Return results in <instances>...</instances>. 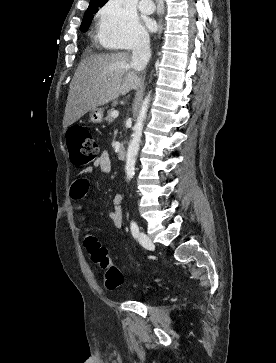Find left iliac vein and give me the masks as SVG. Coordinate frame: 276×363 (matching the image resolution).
Here are the masks:
<instances>
[{"mask_svg": "<svg viewBox=\"0 0 276 363\" xmlns=\"http://www.w3.org/2000/svg\"><path fill=\"white\" fill-rule=\"evenodd\" d=\"M140 244L148 249V250H153L154 249V244L151 241V239L143 232L139 233V238H138Z\"/></svg>", "mask_w": 276, "mask_h": 363, "instance_id": "1", "label": "left iliac vein"}]
</instances>
